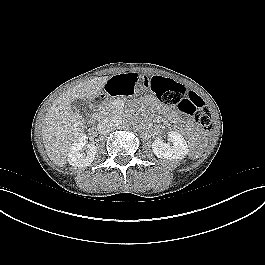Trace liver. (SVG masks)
Returning <instances> with one entry per match:
<instances>
[{
	"label": "liver",
	"mask_w": 265,
	"mask_h": 265,
	"mask_svg": "<svg viewBox=\"0 0 265 265\" xmlns=\"http://www.w3.org/2000/svg\"><path fill=\"white\" fill-rule=\"evenodd\" d=\"M109 77L81 82L58 97L43 121L42 138L49 158L57 166L67 164L72 143L84 132L85 119L71 108L74 100L91 99L100 94Z\"/></svg>",
	"instance_id": "1"
}]
</instances>
